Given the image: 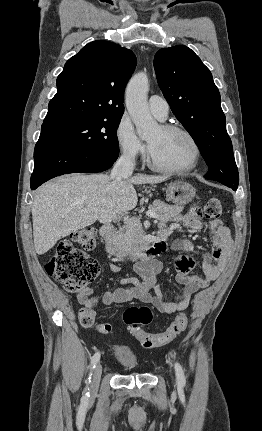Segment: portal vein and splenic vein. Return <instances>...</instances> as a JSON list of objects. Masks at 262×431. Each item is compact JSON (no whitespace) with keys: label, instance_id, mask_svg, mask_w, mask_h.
Masks as SVG:
<instances>
[{"label":"portal vein and splenic vein","instance_id":"obj_1","mask_svg":"<svg viewBox=\"0 0 262 431\" xmlns=\"http://www.w3.org/2000/svg\"><path fill=\"white\" fill-rule=\"evenodd\" d=\"M146 215H147L148 217H150V218L158 219L157 214H156L155 212H153V211H148V212L146 213Z\"/></svg>","mask_w":262,"mask_h":431}]
</instances>
